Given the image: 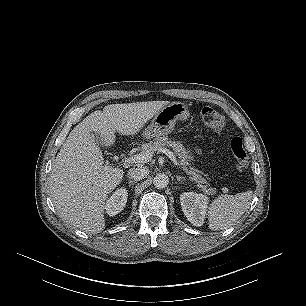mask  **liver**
Instances as JSON below:
<instances>
[{"mask_svg": "<svg viewBox=\"0 0 306 306\" xmlns=\"http://www.w3.org/2000/svg\"><path fill=\"white\" fill-rule=\"evenodd\" d=\"M168 101L111 104L88 115L68 135L49 178L53 204L70 225L97 234L105 228L104 210L109 194L121 182L124 171L104 165L93 133L105 146L115 142V133L134 136Z\"/></svg>", "mask_w": 306, "mask_h": 306, "instance_id": "liver-1", "label": "liver"}]
</instances>
